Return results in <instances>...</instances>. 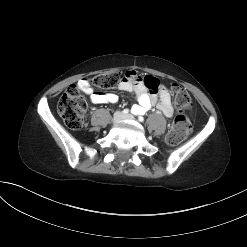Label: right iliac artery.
<instances>
[{"mask_svg": "<svg viewBox=\"0 0 247 247\" xmlns=\"http://www.w3.org/2000/svg\"><path fill=\"white\" fill-rule=\"evenodd\" d=\"M122 113H123V114H128V113H129V109H124V110L122 111Z\"/></svg>", "mask_w": 247, "mask_h": 247, "instance_id": "obj_1", "label": "right iliac artery"}]
</instances>
